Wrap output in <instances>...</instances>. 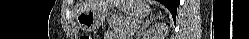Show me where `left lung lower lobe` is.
I'll use <instances>...</instances> for the list:
<instances>
[{
    "mask_svg": "<svg viewBox=\"0 0 249 39\" xmlns=\"http://www.w3.org/2000/svg\"><path fill=\"white\" fill-rule=\"evenodd\" d=\"M160 2L169 9V11L172 13L173 18H175L177 6L180 0H160Z\"/></svg>",
    "mask_w": 249,
    "mask_h": 39,
    "instance_id": "obj_1",
    "label": "left lung lower lobe"
}]
</instances>
